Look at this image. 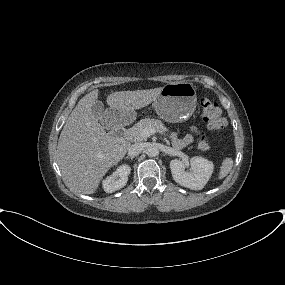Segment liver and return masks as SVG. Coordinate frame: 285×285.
I'll use <instances>...</instances> for the list:
<instances>
[{
  "label": "liver",
  "mask_w": 285,
  "mask_h": 285,
  "mask_svg": "<svg viewBox=\"0 0 285 285\" xmlns=\"http://www.w3.org/2000/svg\"><path fill=\"white\" fill-rule=\"evenodd\" d=\"M162 87L119 91L108 95L113 110L133 112L148 106ZM97 89L82 97L68 117L59 137L57 162L68 185L83 194H93L108 170L125 156L129 143L106 133L93 115L91 106L98 101Z\"/></svg>",
  "instance_id": "obj_1"
}]
</instances>
